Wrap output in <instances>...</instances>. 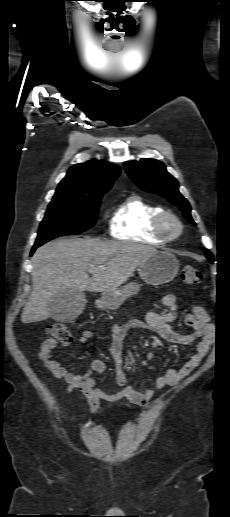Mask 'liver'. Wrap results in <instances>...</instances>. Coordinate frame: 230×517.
<instances>
[{
    "label": "liver",
    "mask_w": 230,
    "mask_h": 517,
    "mask_svg": "<svg viewBox=\"0 0 230 517\" xmlns=\"http://www.w3.org/2000/svg\"><path fill=\"white\" fill-rule=\"evenodd\" d=\"M157 250L154 247L95 238L58 239L38 248L32 258V292L23 323L48 319L52 297L63 290L104 292L116 289ZM98 269L89 277L87 271Z\"/></svg>",
    "instance_id": "6515ba94"
}]
</instances>
